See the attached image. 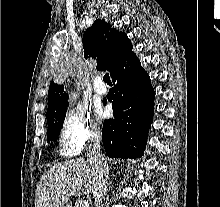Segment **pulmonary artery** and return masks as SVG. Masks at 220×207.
<instances>
[{
  "mask_svg": "<svg viewBox=\"0 0 220 207\" xmlns=\"http://www.w3.org/2000/svg\"><path fill=\"white\" fill-rule=\"evenodd\" d=\"M94 91L98 95H104L107 92L106 86L100 81H96Z\"/></svg>",
  "mask_w": 220,
  "mask_h": 207,
  "instance_id": "obj_1",
  "label": "pulmonary artery"
}]
</instances>
